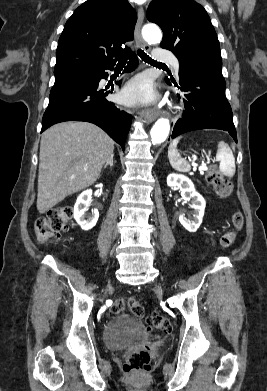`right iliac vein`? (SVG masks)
<instances>
[{"label":"right iliac vein","instance_id":"63e3f726","mask_svg":"<svg viewBox=\"0 0 267 391\" xmlns=\"http://www.w3.org/2000/svg\"><path fill=\"white\" fill-rule=\"evenodd\" d=\"M109 287H110V284L107 285V288H109Z\"/></svg>","mask_w":267,"mask_h":391}]
</instances>
